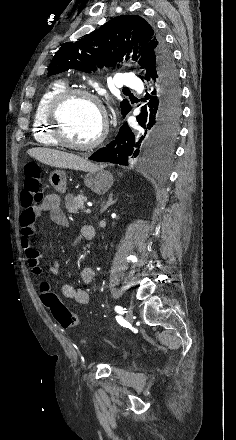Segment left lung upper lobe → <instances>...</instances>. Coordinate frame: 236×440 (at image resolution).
<instances>
[{
    "instance_id": "left-lung-upper-lobe-1",
    "label": "left lung upper lobe",
    "mask_w": 236,
    "mask_h": 440,
    "mask_svg": "<svg viewBox=\"0 0 236 440\" xmlns=\"http://www.w3.org/2000/svg\"><path fill=\"white\" fill-rule=\"evenodd\" d=\"M129 58L137 61L144 71L150 63L172 60V54L161 35L136 15L115 17L77 42H66L55 53L48 74L54 75L68 69L90 72L96 67L115 65ZM129 106L128 100L121 102L122 114Z\"/></svg>"
}]
</instances>
